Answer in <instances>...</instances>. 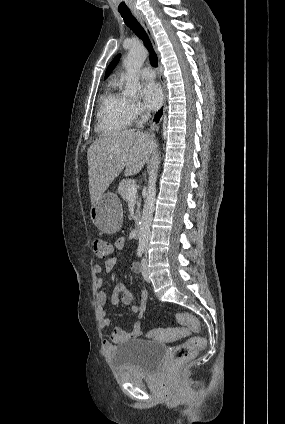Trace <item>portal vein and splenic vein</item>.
I'll return each mask as SVG.
<instances>
[{"mask_svg": "<svg viewBox=\"0 0 285 424\" xmlns=\"http://www.w3.org/2000/svg\"><path fill=\"white\" fill-rule=\"evenodd\" d=\"M137 193V186L133 183L129 186L128 188V196L130 197H134Z\"/></svg>", "mask_w": 285, "mask_h": 424, "instance_id": "portal-vein-and-splenic-vein-1", "label": "portal vein and splenic vein"}]
</instances>
